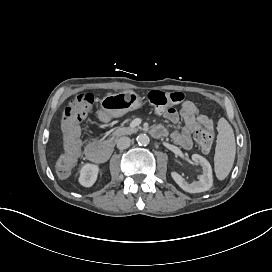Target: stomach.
Returning a JSON list of instances; mask_svg holds the SVG:
<instances>
[{"instance_id":"1","label":"stomach","mask_w":272,"mask_h":272,"mask_svg":"<svg viewBox=\"0 0 272 272\" xmlns=\"http://www.w3.org/2000/svg\"><path fill=\"white\" fill-rule=\"evenodd\" d=\"M142 98L132 90L108 94L101 100L102 109L113 117H121L142 106Z\"/></svg>"}]
</instances>
